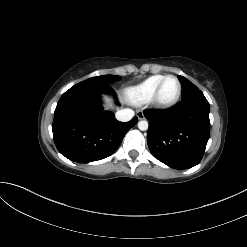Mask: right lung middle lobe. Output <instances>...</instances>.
Here are the masks:
<instances>
[{"label": "right lung middle lobe", "mask_w": 247, "mask_h": 247, "mask_svg": "<svg viewBox=\"0 0 247 247\" xmlns=\"http://www.w3.org/2000/svg\"><path fill=\"white\" fill-rule=\"evenodd\" d=\"M120 79V76H116V75H103V76H97V77H93V78H89L83 82H87V83H102V82H113V81H117Z\"/></svg>", "instance_id": "obj_1"}]
</instances>
